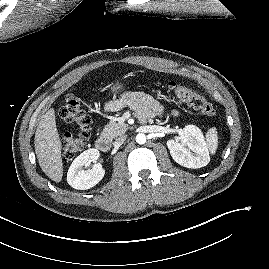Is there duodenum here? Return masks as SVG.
Wrapping results in <instances>:
<instances>
[{"label": "duodenum", "mask_w": 269, "mask_h": 269, "mask_svg": "<svg viewBox=\"0 0 269 269\" xmlns=\"http://www.w3.org/2000/svg\"><path fill=\"white\" fill-rule=\"evenodd\" d=\"M95 147L101 152H108L111 148V144L108 138L100 136L95 141Z\"/></svg>", "instance_id": "obj_1"}]
</instances>
